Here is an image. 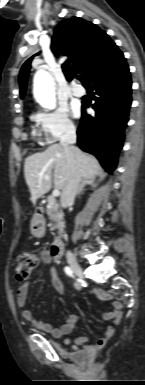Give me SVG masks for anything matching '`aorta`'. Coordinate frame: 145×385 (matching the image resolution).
<instances>
[{
  "mask_svg": "<svg viewBox=\"0 0 145 385\" xmlns=\"http://www.w3.org/2000/svg\"><path fill=\"white\" fill-rule=\"evenodd\" d=\"M33 94L36 101L45 109L56 108L55 82L45 70L40 69L34 76Z\"/></svg>",
  "mask_w": 145,
  "mask_h": 385,
  "instance_id": "obj_1",
  "label": "aorta"
}]
</instances>
